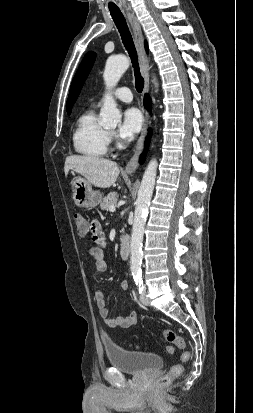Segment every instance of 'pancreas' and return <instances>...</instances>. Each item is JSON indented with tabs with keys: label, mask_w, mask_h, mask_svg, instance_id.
Wrapping results in <instances>:
<instances>
[{
	"label": "pancreas",
	"mask_w": 253,
	"mask_h": 413,
	"mask_svg": "<svg viewBox=\"0 0 253 413\" xmlns=\"http://www.w3.org/2000/svg\"><path fill=\"white\" fill-rule=\"evenodd\" d=\"M117 202V193L116 192H110L107 196L103 198L101 201L100 207L102 210H109V207L112 205H115Z\"/></svg>",
	"instance_id": "obj_1"
}]
</instances>
